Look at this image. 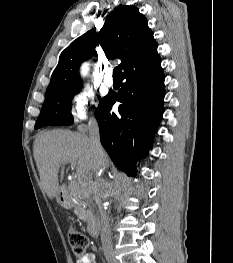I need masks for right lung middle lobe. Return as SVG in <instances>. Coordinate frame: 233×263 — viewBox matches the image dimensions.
<instances>
[{"label": "right lung middle lobe", "mask_w": 233, "mask_h": 263, "mask_svg": "<svg viewBox=\"0 0 233 263\" xmlns=\"http://www.w3.org/2000/svg\"><path fill=\"white\" fill-rule=\"evenodd\" d=\"M77 93H79V89H69L46 96L35 128L38 129L52 124H72V115L69 108L74 95Z\"/></svg>", "instance_id": "dd1d6c3e"}]
</instances>
